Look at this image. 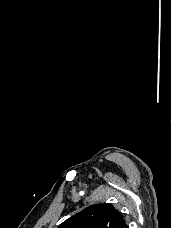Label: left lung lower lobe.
Segmentation results:
<instances>
[{
    "label": "left lung lower lobe",
    "instance_id": "left-lung-lower-lobe-1",
    "mask_svg": "<svg viewBox=\"0 0 171 228\" xmlns=\"http://www.w3.org/2000/svg\"><path fill=\"white\" fill-rule=\"evenodd\" d=\"M123 228H128L127 224H125V225L123 226Z\"/></svg>",
    "mask_w": 171,
    "mask_h": 228
}]
</instances>
